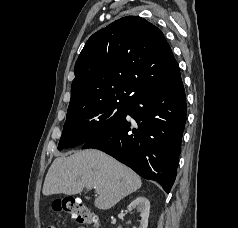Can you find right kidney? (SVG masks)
<instances>
[{
	"instance_id": "ca27d5eb",
	"label": "right kidney",
	"mask_w": 238,
	"mask_h": 228,
	"mask_svg": "<svg viewBox=\"0 0 238 228\" xmlns=\"http://www.w3.org/2000/svg\"><path fill=\"white\" fill-rule=\"evenodd\" d=\"M137 209L141 215V221L139 228H147L148 227V218L150 213V202L146 197H137L134 201H132L128 205V211H132Z\"/></svg>"
}]
</instances>
